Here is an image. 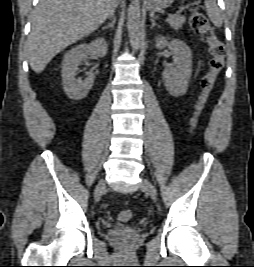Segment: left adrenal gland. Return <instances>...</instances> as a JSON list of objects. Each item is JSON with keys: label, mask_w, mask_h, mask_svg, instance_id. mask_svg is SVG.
Instances as JSON below:
<instances>
[{"label": "left adrenal gland", "mask_w": 254, "mask_h": 267, "mask_svg": "<svg viewBox=\"0 0 254 267\" xmlns=\"http://www.w3.org/2000/svg\"><path fill=\"white\" fill-rule=\"evenodd\" d=\"M150 21H151V27H150L151 29H152L153 27H155V26L159 27V25L156 23L154 17H151Z\"/></svg>", "instance_id": "left-adrenal-gland-1"}]
</instances>
